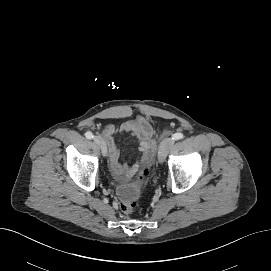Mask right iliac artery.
Listing matches in <instances>:
<instances>
[{
  "label": "right iliac artery",
  "mask_w": 271,
  "mask_h": 271,
  "mask_svg": "<svg viewBox=\"0 0 271 271\" xmlns=\"http://www.w3.org/2000/svg\"><path fill=\"white\" fill-rule=\"evenodd\" d=\"M85 136L88 139H92L93 138V134L91 132H89V131L85 133Z\"/></svg>",
  "instance_id": "82829eb1"
}]
</instances>
